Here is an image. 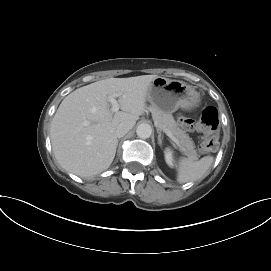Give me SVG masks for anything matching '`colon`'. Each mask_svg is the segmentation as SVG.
I'll return each instance as SVG.
<instances>
[{
  "mask_svg": "<svg viewBox=\"0 0 271 271\" xmlns=\"http://www.w3.org/2000/svg\"><path fill=\"white\" fill-rule=\"evenodd\" d=\"M179 125L188 131H199L203 133V138L199 144L202 153L214 151L218 146L219 136V116L216 108L206 107L199 120H193L186 116L178 117Z\"/></svg>",
  "mask_w": 271,
  "mask_h": 271,
  "instance_id": "5ec220e1",
  "label": "colon"
}]
</instances>
